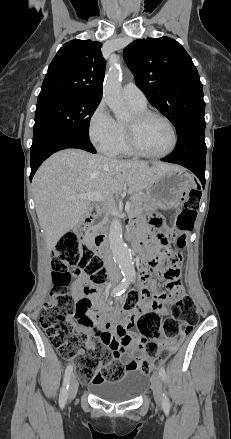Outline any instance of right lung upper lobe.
Returning <instances> with one entry per match:
<instances>
[{
  "label": "right lung upper lobe",
  "mask_w": 231,
  "mask_h": 439,
  "mask_svg": "<svg viewBox=\"0 0 231 439\" xmlns=\"http://www.w3.org/2000/svg\"><path fill=\"white\" fill-rule=\"evenodd\" d=\"M101 47L91 40L65 43L48 67L38 100L80 96L101 101L105 72Z\"/></svg>",
  "instance_id": "1"
}]
</instances>
